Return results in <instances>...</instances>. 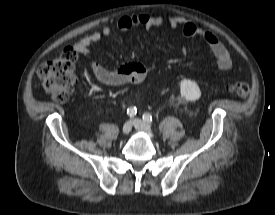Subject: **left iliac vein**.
Listing matches in <instances>:
<instances>
[{
	"instance_id": "left-iliac-vein-1",
	"label": "left iliac vein",
	"mask_w": 275,
	"mask_h": 215,
	"mask_svg": "<svg viewBox=\"0 0 275 215\" xmlns=\"http://www.w3.org/2000/svg\"><path fill=\"white\" fill-rule=\"evenodd\" d=\"M133 125L137 130L143 131V132H145L149 135H152V131H151L150 126L147 123L143 122L142 120L137 119V118L134 119L133 120Z\"/></svg>"
}]
</instances>
